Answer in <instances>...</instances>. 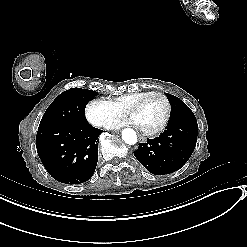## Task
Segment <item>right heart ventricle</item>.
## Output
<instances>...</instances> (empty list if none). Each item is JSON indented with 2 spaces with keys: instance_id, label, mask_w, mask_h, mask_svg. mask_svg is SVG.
Returning a JSON list of instances; mask_svg holds the SVG:
<instances>
[{
  "instance_id": "1",
  "label": "right heart ventricle",
  "mask_w": 247,
  "mask_h": 247,
  "mask_svg": "<svg viewBox=\"0 0 247 247\" xmlns=\"http://www.w3.org/2000/svg\"><path fill=\"white\" fill-rule=\"evenodd\" d=\"M150 90L128 93L115 100L119 106H133L134 102L143 99Z\"/></svg>"
}]
</instances>
